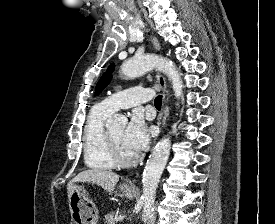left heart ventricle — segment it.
Wrapping results in <instances>:
<instances>
[{"mask_svg":"<svg viewBox=\"0 0 275 224\" xmlns=\"http://www.w3.org/2000/svg\"><path fill=\"white\" fill-rule=\"evenodd\" d=\"M124 127L123 126H117L114 128L109 129V133L111 135V138L113 142L115 143L119 153L121 156L125 158H130L134 156L135 154L129 151L123 142V134H124Z\"/></svg>","mask_w":275,"mask_h":224,"instance_id":"b2bd125f","label":"left heart ventricle"}]
</instances>
